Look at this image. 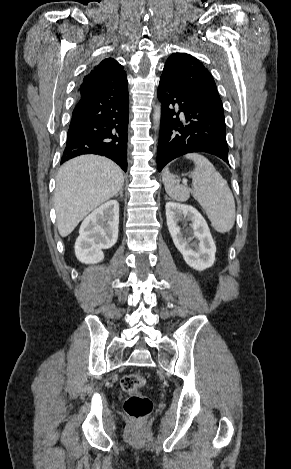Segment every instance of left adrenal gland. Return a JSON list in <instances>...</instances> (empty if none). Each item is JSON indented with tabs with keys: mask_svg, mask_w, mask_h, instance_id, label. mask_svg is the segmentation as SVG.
Here are the masks:
<instances>
[{
	"mask_svg": "<svg viewBox=\"0 0 291 469\" xmlns=\"http://www.w3.org/2000/svg\"><path fill=\"white\" fill-rule=\"evenodd\" d=\"M165 199L167 200V199H168V197H167V196H165Z\"/></svg>",
	"mask_w": 291,
	"mask_h": 469,
	"instance_id": "left-adrenal-gland-1",
	"label": "left adrenal gland"
}]
</instances>
